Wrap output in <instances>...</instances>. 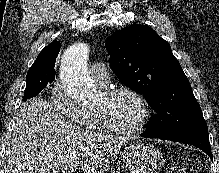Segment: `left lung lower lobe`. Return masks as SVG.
<instances>
[{
    "instance_id": "0a47b994",
    "label": "left lung lower lobe",
    "mask_w": 219,
    "mask_h": 173,
    "mask_svg": "<svg viewBox=\"0 0 219 173\" xmlns=\"http://www.w3.org/2000/svg\"><path fill=\"white\" fill-rule=\"evenodd\" d=\"M141 136L188 143L203 150L213 160L211 146L209 143L208 129L199 128L166 136H155L147 133H142Z\"/></svg>"
}]
</instances>
